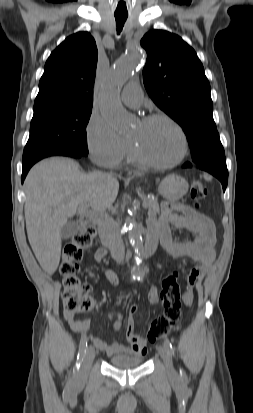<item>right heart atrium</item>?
Returning <instances> with one entry per match:
<instances>
[{
    "instance_id": "d8ad5b80",
    "label": "right heart atrium",
    "mask_w": 253,
    "mask_h": 413,
    "mask_svg": "<svg viewBox=\"0 0 253 413\" xmlns=\"http://www.w3.org/2000/svg\"><path fill=\"white\" fill-rule=\"evenodd\" d=\"M89 156L97 165L115 167L124 159L130 144L101 115L93 113L86 127Z\"/></svg>"
}]
</instances>
